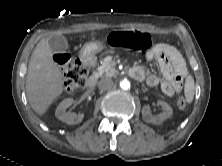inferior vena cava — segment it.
<instances>
[{
	"label": "inferior vena cava",
	"instance_id": "obj_1",
	"mask_svg": "<svg viewBox=\"0 0 222 166\" xmlns=\"http://www.w3.org/2000/svg\"><path fill=\"white\" fill-rule=\"evenodd\" d=\"M98 86L102 90H109L113 87V81L110 78H103L99 81Z\"/></svg>",
	"mask_w": 222,
	"mask_h": 166
}]
</instances>
